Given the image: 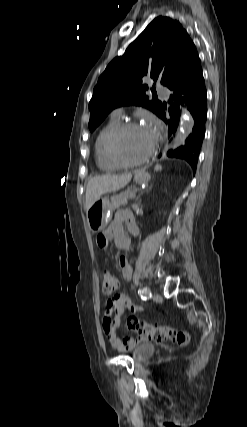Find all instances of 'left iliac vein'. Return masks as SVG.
<instances>
[{
	"mask_svg": "<svg viewBox=\"0 0 247 427\" xmlns=\"http://www.w3.org/2000/svg\"><path fill=\"white\" fill-rule=\"evenodd\" d=\"M152 299L155 302H161L162 301V296L160 294L155 293V294H153Z\"/></svg>",
	"mask_w": 247,
	"mask_h": 427,
	"instance_id": "4c4485c4",
	"label": "left iliac vein"
}]
</instances>
